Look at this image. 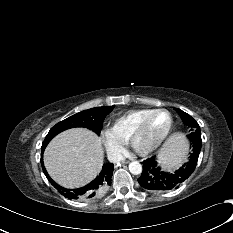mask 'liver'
<instances>
[{
  "instance_id": "6515ba94",
  "label": "liver",
  "mask_w": 233,
  "mask_h": 233,
  "mask_svg": "<svg viewBox=\"0 0 233 233\" xmlns=\"http://www.w3.org/2000/svg\"><path fill=\"white\" fill-rule=\"evenodd\" d=\"M182 145L171 137L160 150L159 160L168 168L178 164ZM103 148L90 130L75 128L57 135L44 152L45 167L51 178L66 188H79L91 182L101 170Z\"/></svg>"
}]
</instances>
